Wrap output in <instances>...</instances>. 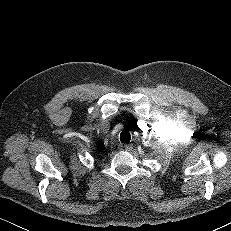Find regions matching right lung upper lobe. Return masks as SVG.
<instances>
[{"mask_svg": "<svg viewBox=\"0 0 231 231\" xmlns=\"http://www.w3.org/2000/svg\"><path fill=\"white\" fill-rule=\"evenodd\" d=\"M103 148V143L101 141H98V149H102Z\"/></svg>", "mask_w": 231, "mask_h": 231, "instance_id": "1", "label": "right lung upper lobe"}]
</instances>
